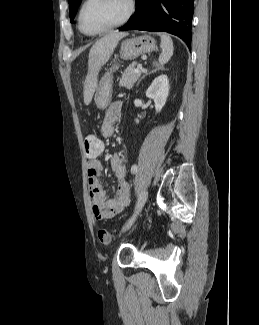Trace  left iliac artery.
Segmentation results:
<instances>
[{
  "mask_svg": "<svg viewBox=\"0 0 259 325\" xmlns=\"http://www.w3.org/2000/svg\"><path fill=\"white\" fill-rule=\"evenodd\" d=\"M137 170H138L137 165H135V164L132 165V167H131V173L135 174L137 172Z\"/></svg>",
  "mask_w": 259,
  "mask_h": 325,
  "instance_id": "44dca946",
  "label": "left iliac artery"
}]
</instances>
